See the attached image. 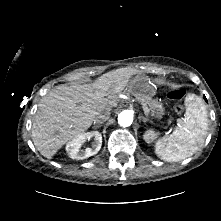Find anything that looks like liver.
Returning <instances> with one entry per match:
<instances>
[{"mask_svg": "<svg viewBox=\"0 0 221 221\" xmlns=\"http://www.w3.org/2000/svg\"><path fill=\"white\" fill-rule=\"evenodd\" d=\"M132 73L117 69L92 84L57 86L40 101L31 136L37 150L51 159L68 141L86 131L98 113L111 110L105 96L121 92Z\"/></svg>", "mask_w": 221, "mask_h": 221, "instance_id": "1", "label": "liver"}]
</instances>
